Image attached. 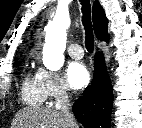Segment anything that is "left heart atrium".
<instances>
[{
	"label": "left heart atrium",
	"instance_id": "1",
	"mask_svg": "<svg viewBox=\"0 0 142 128\" xmlns=\"http://www.w3.org/2000/svg\"><path fill=\"white\" fill-rule=\"evenodd\" d=\"M66 79L72 89L81 90L89 84L90 74L82 63L72 62L67 67Z\"/></svg>",
	"mask_w": 142,
	"mask_h": 128
}]
</instances>
